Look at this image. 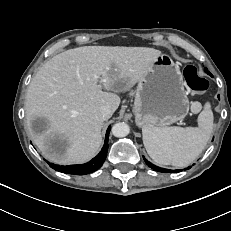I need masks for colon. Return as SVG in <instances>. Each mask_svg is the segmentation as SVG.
Returning <instances> with one entry per match:
<instances>
[{
  "label": "colon",
  "mask_w": 231,
  "mask_h": 231,
  "mask_svg": "<svg viewBox=\"0 0 231 231\" xmlns=\"http://www.w3.org/2000/svg\"><path fill=\"white\" fill-rule=\"evenodd\" d=\"M183 74L185 81L191 90L196 92H202L208 88V81L198 75L197 69L194 66H186L184 68Z\"/></svg>",
  "instance_id": "colon-1"
}]
</instances>
